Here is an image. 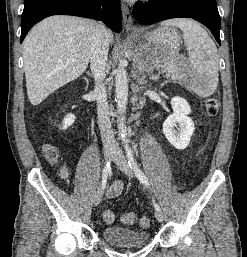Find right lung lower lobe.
I'll return each mask as SVG.
<instances>
[{
	"mask_svg": "<svg viewBox=\"0 0 247 257\" xmlns=\"http://www.w3.org/2000/svg\"><path fill=\"white\" fill-rule=\"evenodd\" d=\"M52 15H74L101 20L117 33L122 28L119 0H25L20 43L37 22Z\"/></svg>",
	"mask_w": 247,
	"mask_h": 257,
	"instance_id": "right-lung-lower-lobe-1",
	"label": "right lung lower lobe"
}]
</instances>
